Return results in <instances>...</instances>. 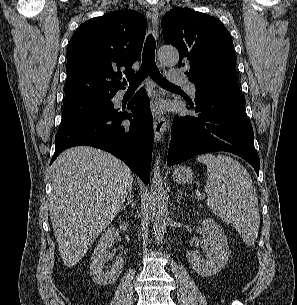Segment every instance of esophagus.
<instances>
[{
	"label": "esophagus",
	"mask_w": 297,
	"mask_h": 305,
	"mask_svg": "<svg viewBox=\"0 0 297 305\" xmlns=\"http://www.w3.org/2000/svg\"><path fill=\"white\" fill-rule=\"evenodd\" d=\"M150 17L152 20V32L154 37L158 38L159 32V13L158 8L156 6H152ZM154 133H155V141H162L164 132L166 130V118L162 114H157L154 116Z\"/></svg>",
	"instance_id": "34e87169"
}]
</instances>
